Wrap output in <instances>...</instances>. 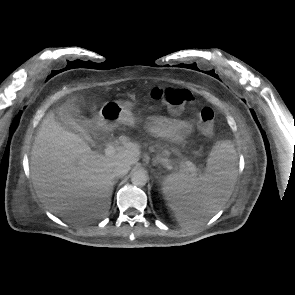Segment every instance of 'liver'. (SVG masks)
Here are the masks:
<instances>
[{
  "mask_svg": "<svg viewBox=\"0 0 295 295\" xmlns=\"http://www.w3.org/2000/svg\"><path fill=\"white\" fill-rule=\"evenodd\" d=\"M139 157L140 147L133 142L124 143L112 156L92 151L83 138L63 128L51 111L37 132L30 172L37 196L54 214L97 217L110 208L115 164L132 166Z\"/></svg>",
  "mask_w": 295,
  "mask_h": 295,
  "instance_id": "6515ba94",
  "label": "liver"
}]
</instances>
